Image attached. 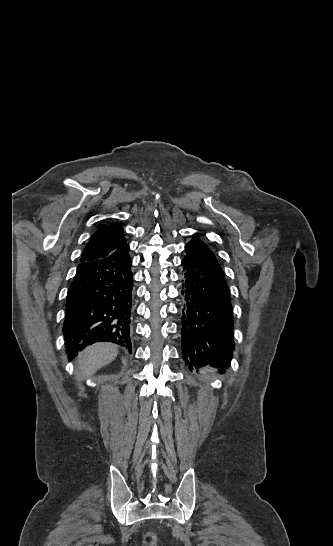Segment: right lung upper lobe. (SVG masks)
<instances>
[{"mask_svg":"<svg viewBox=\"0 0 333 546\" xmlns=\"http://www.w3.org/2000/svg\"><path fill=\"white\" fill-rule=\"evenodd\" d=\"M124 245H126V240L123 228L119 223H114L110 226L101 225L91 236L80 260L93 261L104 258Z\"/></svg>","mask_w":333,"mask_h":546,"instance_id":"1","label":"right lung upper lobe"}]
</instances>
